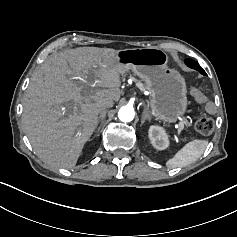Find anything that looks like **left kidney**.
I'll return each instance as SVG.
<instances>
[{
  "label": "left kidney",
  "mask_w": 237,
  "mask_h": 237,
  "mask_svg": "<svg viewBox=\"0 0 237 237\" xmlns=\"http://www.w3.org/2000/svg\"><path fill=\"white\" fill-rule=\"evenodd\" d=\"M148 135L152 146L157 150H164L169 146V135L164 128L152 125Z\"/></svg>",
  "instance_id": "5707ae66"
}]
</instances>
